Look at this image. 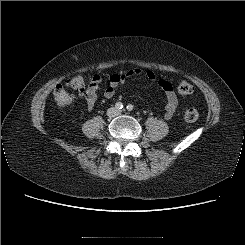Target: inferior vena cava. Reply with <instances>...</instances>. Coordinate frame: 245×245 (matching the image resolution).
Returning <instances> with one entry per match:
<instances>
[{
    "mask_svg": "<svg viewBox=\"0 0 245 245\" xmlns=\"http://www.w3.org/2000/svg\"><path fill=\"white\" fill-rule=\"evenodd\" d=\"M119 114V111H117L113 116H116V115H118Z\"/></svg>",
    "mask_w": 245,
    "mask_h": 245,
    "instance_id": "602c4592",
    "label": "inferior vena cava"
}]
</instances>
